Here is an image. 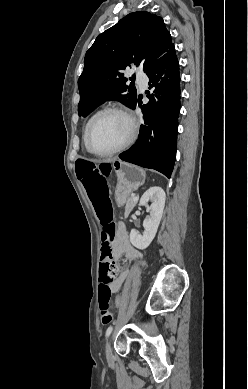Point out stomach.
<instances>
[{
    "label": "stomach",
    "mask_w": 248,
    "mask_h": 389,
    "mask_svg": "<svg viewBox=\"0 0 248 389\" xmlns=\"http://www.w3.org/2000/svg\"><path fill=\"white\" fill-rule=\"evenodd\" d=\"M113 167L117 175L115 199L122 206L129 195L144 183L146 173L141 167L122 161H114Z\"/></svg>",
    "instance_id": "obj_1"
}]
</instances>
